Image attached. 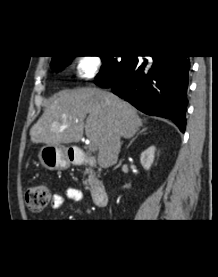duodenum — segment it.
<instances>
[{
    "label": "duodenum",
    "instance_id": "1",
    "mask_svg": "<svg viewBox=\"0 0 218 277\" xmlns=\"http://www.w3.org/2000/svg\"><path fill=\"white\" fill-rule=\"evenodd\" d=\"M69 159L73 163L80 166L93 165L94 161L82 151L71 150ZM91 194L93 202L98 207H104L108 202V193L105 186L101 182L93 183L91 186Z\"/></svg>",
    "mask_w": 218,
    "mask_h": 277
}]
</instances>
